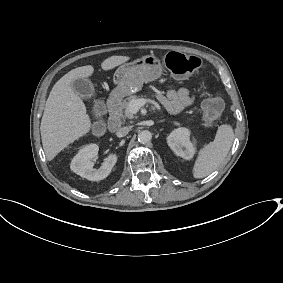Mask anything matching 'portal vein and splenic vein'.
<instances>
[{"mask_svg": "<svg viewBox=\"0 0 283 283\" xmlns=\"http://www.w3.org/2000/svg\"><path fill=\"white\" fill-rule=\"evenodd\" d=\"M146 102H150L152 104H154L156 106V102L154 100H150V99H137V100H133L130 102L129 104V111L132 113V114H136L139 109L145 105Z\"/></svg>", "mask_w": 283, "mask_h": 283, "instance_id": "portal-vein-and-splenic-vein-1", "label": "portal vein and splenic vein"}]
</instances>
